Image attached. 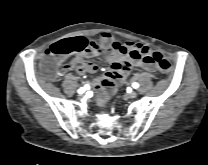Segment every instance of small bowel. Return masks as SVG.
Returning <instances> with one entry per match:
<instances>
[{
    "mask_svg": "<svg viewBox=\"0 0 208 165\" xmlns=\"http://www.w3.org/2000/svg\"><path fill=\"white\" fill-rule=\"evenodd\" d=\"M145 51L151 50L142 44L120 42L111 33L103 32L98 41H89L84 51L75 54L69 64L65 61L60 62L58 68L62 72L69 69L78 74L95 73L98 66L89 59L103 53L109 62V70L97 78L90 87L99 93L98 103L104 106L114 88L124 82L133 67H142L150 72L155 71V65L143 59Z\"/></svg>",
    "mask_w": 208,
    "mask_h": 165,
    "instance_id": "1",
    "label": "small bowel"
}]
</instances>
